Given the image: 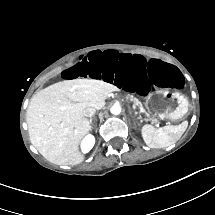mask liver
I'll use <instances>...</instances> for the list:
<instances>
[{"mask_svg": "<svg viewBox=\"0 0 215 215\" xmlns=\"http://www.w3.org/2000/svg\"><path fill=\"white\" fill-rule=\"evenodd\" d=\"M119 89L101 80L73 79L55 83L37 92L27 109L31 144L50 162L77 165L84 160L79 151L90 124L83 109L105 106L109 93Z\"/></svg>", "mask_w": 215, "mask_h": 215, "instance_id": "6515ba94", "label": "liver"}]
</instances>
